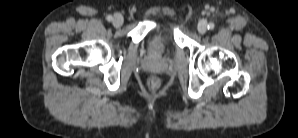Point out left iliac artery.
Here are the masks:
<instances>
[{"mask_svg": "<svg viewBox=\"0 0 298 138\" xmlns=\"http://www.w3.org/2000/svg\"><path fill=\"white\" fill-rule=\"evenodd\" d=\"M207 28H208V30H213L215 28L214 23H209Z\"/></svg>", "mask_w": 298, "mask_h": 138, "instance_id": "44dca946", "label": "left iliac artery"}]
</instances>
